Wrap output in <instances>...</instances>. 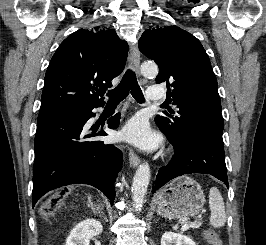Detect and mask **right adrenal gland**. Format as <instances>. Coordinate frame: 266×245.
<instances>
[{
  "label": "right adrenal gland",
  "mask_w": 266,
  "mask_h": 245,
  "mask_svg": "<svg viewBox=\"0 0 266 245\" xmlns=\"http://www.w3.org/2000/svg\"><path fill=\"white\" fill-rule=\"evenodd\" d=\"M88 201L90 203V207H91L93 213H99V217H104L105 221H107V219L103 213L102 203H100V201H97L96 205H94V203H92L91 197H88Z\"/></svg>",
  "instance_id": "1"
}]
</instances>
